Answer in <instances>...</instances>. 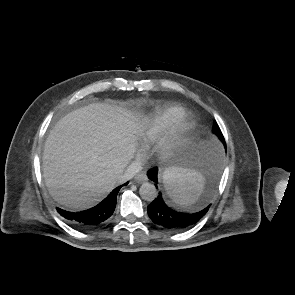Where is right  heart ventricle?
Returning <instances> with one entry per match:
<instances>
[{
  "mask_svg": "<svg viewBox=\"0 0 295 295\" xmlns=\"http://www.w3.org/2000/svg\"><path fill=\"white\" fill-rule=\"evenodd\" d=\"M184 110L179 106H167L142 119L138 136L145 146L161 137L182 115Z\"/></svg>",
  "mask_w": 295,
  "mask_h": 295,
  "instance_id": "e07e8e85",
  "label": "right heart ventricle"
}]
</instances>
